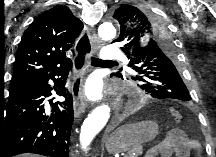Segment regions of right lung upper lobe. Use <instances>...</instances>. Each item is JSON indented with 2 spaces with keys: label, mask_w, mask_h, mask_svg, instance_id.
<instances>
[{
  "label": "right lung upper lobe",
  "mask_w": 216,
  "mask_h": 157,
  "mask_svg": "<svg viewBox=\"0 0 216 157\" xmlns=\"http://www.w3.org/2000/svg\"><path fill=\"white\" fill-rule=\"evenodd\" d=\"M82 28V22L67 6H56L38 16L19 43L10 91L71 64L65 52L72 47Z\"/></svg>",
  "instance_id": "right-lung-upper-lobe-1"
}]
</instances>
